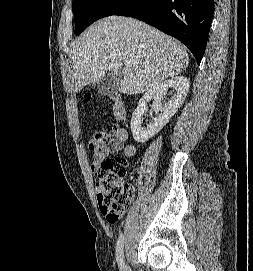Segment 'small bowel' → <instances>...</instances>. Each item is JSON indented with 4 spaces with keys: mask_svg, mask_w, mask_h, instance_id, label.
<instances>
[{
    "mask_svg": "<svg viewBox=\"0 0 253 271\" xmlns=\"http://www.w3.org/2000/svg\"><path fill=\"white\" fill-rule=\"evenodd\" d=\"M128 139L127 131L118 124L112 125L109 129H101L93 133L88 147L93 152V159L90 164V171L96 173L101 161L110 154L123 153L127 157H132L136 153L133 144H125Z\"/></svg>",
    "mask_w": 253,
    "mask_h": 271,
    "instance_id": "1",
    "label": "small bowel"
}]
</instances>
